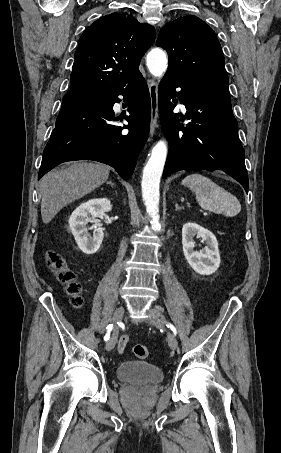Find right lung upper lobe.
<instances>
[{"mask_svg": "<svg viewBox=\"0 0 281 453\" xmlns=\"http://www.w3.org/2000/svg\"><path fill=\"white\" fill-rule=\"evenodd\" d=\"M155 36L152 26L130 15L111 13L99 18L79 39L70 92L119 87L139 71L140 60Z\"/></svg>", "mask_w": 281, "mask_h": 453, "instance_id": "right-lung-upper-lobe-1", "label": "right lung upper lobe"}]
</instances>
